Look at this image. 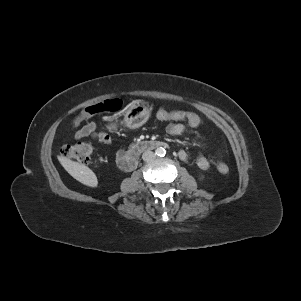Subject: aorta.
I'll list each match as a JSON object with an SVG mask.
<instances>
[{
  "mask_svg": "<svg viewBox=\"0 0 301 301\" xmlns=\"http://www.w3.org/2000/svg\"><path fill=\"white\" fill-rule=\"evenodd\" d=\"M166 154V150L163 147H159L155 150V155L158 157H163Z\"/></svg>",
  "mask_w": 301,
  "mask_h": 301,
  "instance_id": "aorta-1",
  "label": "aorta"
}]
</instances>
